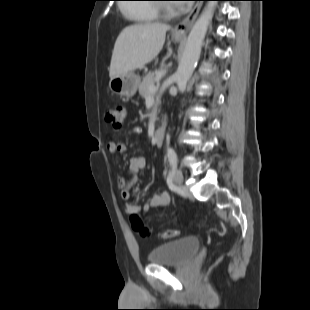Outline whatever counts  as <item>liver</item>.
Listing matches in <instances>:
<instances>
[{"mask_svg": "<svg viewBox=\"0 0 310 310\" xmlns=\"http://www.w3.org/2000/svg\"><path fill=\"white\" fill-rule=\"evenodd\" d=\"M169 25L135 24L124 28L116 39L110 68V79L133 72L150 63L163 48Z\"/></svg>", "mask_w": 310, "mask_h": 310, "instance_id": "6515ba94", "label": "liver"}]
</instances>
